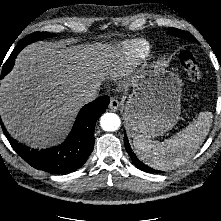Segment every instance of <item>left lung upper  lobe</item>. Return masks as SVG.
Here are the masks:
<instances>
[{
  "label": "left lung upper lobe",
  "mask_w": 221,
  "mask_h": 221,
  "mask_svg": "<svg viewBox=\"0 0 221 221\" xmlns=\"http://www.w3.org/2000/svg\"><path fill=\"white\" fill-rule=\"evenodd\" d=\"M169 31L173 35H176L182 38L192 39V36L185 31L175 29V28H169Z\"/></svg>",
  "instance_id": "left-lung-upper-lobe-1"
}]
</instances>
